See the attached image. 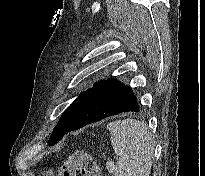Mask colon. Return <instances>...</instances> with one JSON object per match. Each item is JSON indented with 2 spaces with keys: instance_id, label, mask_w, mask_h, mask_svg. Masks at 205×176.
<instances>
[{
  "instance_id": "1",
  "label": "colon",
  "mask_w": 205,
  "mask_h": 176,
  "mask_svg": "<svg viewBox=\"0 0 205 176\" xmlns=\"http://www.w3.org/2000/svg\"><path fill=\"white\" fill-rule=\"evenodd\" d=\"M50 176H103L98 163L86 151H78L57 169L50 170Z\"/></svg>"
}]
</instances>
